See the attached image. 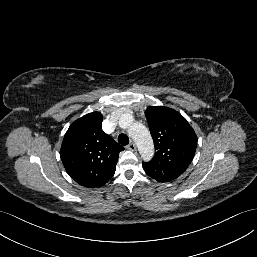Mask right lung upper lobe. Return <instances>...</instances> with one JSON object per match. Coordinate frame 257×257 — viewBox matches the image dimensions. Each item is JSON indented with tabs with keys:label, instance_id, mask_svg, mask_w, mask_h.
<instances>
[{
	"label": "right lung upper lobe",
	"instance_id": "obj_1",
	"mask_svg": "<svg viewBox=\"0 0 257 257\" xmlns=\"http://www.w3.org/2000/svg\"><path fill=\"white\" fill-rule=\"evenodd\" d=\"M103 116L89 113L67 130L60 157L67 173L78 184L101 187L114 175L118 155L124 148L103 132Z\"/></svg>",
	"mask_w": 257,
	"mask_h": 257
}]
</instances>
